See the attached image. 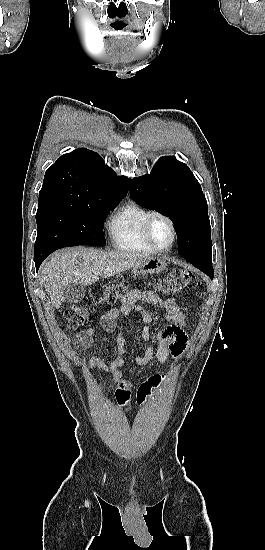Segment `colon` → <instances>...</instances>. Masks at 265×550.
I'll use <instances>...</instances> for the list:
<instances>
[{
	"label": "colon",
	"mask_w": 265,
	"mask_h": 550,
	"mask_svg": "<svg viewBox=\"0 0 265 550\" xmlns=\"http://www.w3.org/2000/svg\"><path fill=\"white\" fill-rule=\"evenodd\" d=\"M155 288L166 295H175L200 286L199 278L187 269H176L169 275L157 279ZM129 285L126 281H120L108 286L101 296L103 303L111 305L122 300L128 293ZM66 326L69 330H77L84 327L89 321L88 310L80 305L73 304L64 312ZM163 382L161 376H153L143 382L137 389L136 402L140 406H146L153 391Z\"/></svg>",
	"instance_id": "colon-1"
}]
</instances>
